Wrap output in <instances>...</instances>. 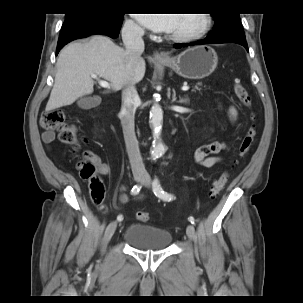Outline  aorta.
<instances>
[{
    "label": "aorta",
    "mask_w": 303,
    "mask_h": 303,
    "mask_svg": "<svg viewBox=\"0 0 303 303\" xmlns=\"http://www.w3.org/2000/svg\"><path fill=\"white\" fill-rule=\"evenodd\" d=\"M163 112L159 104L154 103L150 111V124L153 129L154 142L151 149V158L156 160L164 155L166 147L159 139L162 129Z\"/></svg>",
    "instance_id": "762f6f07"
}]
</instances>
